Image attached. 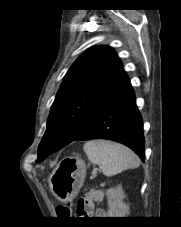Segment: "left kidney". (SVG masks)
Returning <instances> with one entry per match:
<instances>
[{
	"mask_svg": "<svg viewBox=\"0 0 181 227\" xmlns=\"http://www.w3.org/2000/svg\"><path fill=\"white\" fill-rule=\"evenodd\" d=\"M108 196V216L109 217H127L130 213L128 204L123 202L125 198L122 186L119 185L107 191Z\"/></svg>",
	"mask_w": 181,
	"mask_h": 227,
	"instance_id": "1",
	"label": "left kidney"
}]
</instances>
